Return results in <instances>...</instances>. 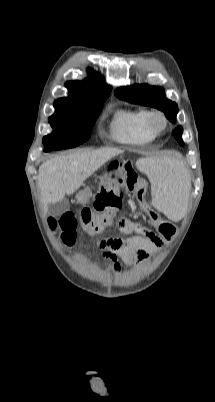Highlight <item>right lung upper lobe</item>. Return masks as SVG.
Segmentation results:
<instances>
[{"label": "right lung upper lobe", "mask_w": 215, "mask_h": 402, "mask_svg": "<svg viewBox=\"0 0 215 402\" xmlns=\"http://www.w3.org/2000/svg\"><path fill=\"white\" fill-rule=\"evenodd\" d=\"M89 77L83 81H69L65 87L69 91L67 98H60V100L83 101L90 102L102 99L109 96L111 87L108 86L104 79L88 68ZM95 77L98 81L95 82Z\"/></svg>", "instance_id": "cb5924a9"}]
</instances>
